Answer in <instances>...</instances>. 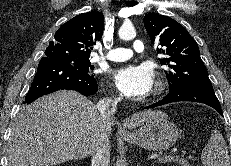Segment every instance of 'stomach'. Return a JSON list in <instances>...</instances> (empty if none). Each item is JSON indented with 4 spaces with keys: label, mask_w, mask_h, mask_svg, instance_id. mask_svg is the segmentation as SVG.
I'll return each instance as SVG.
<instances>
[{
    "label": "stomach",
    "mask_w": 231,
    "mask_h": 166,
    "mask_svg": "<svg viewBox=\"0 0 231 166\" xmlns=\"http://www.w3.org/2000/svg\"><path fill=\"white\" fill-rule=\"evenodd\" d=\"M178 136L177 126L168 121L166 114L159 113L144 122L138 130L125 136L124 139L144 149L163 151L172 147Z\"/></svg>",
    "instance_id": "stomach-1"
}]
</instances>
